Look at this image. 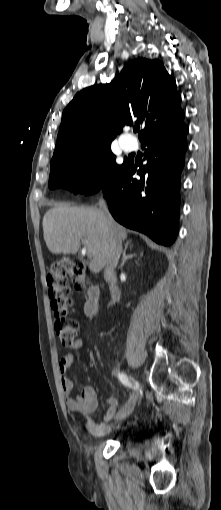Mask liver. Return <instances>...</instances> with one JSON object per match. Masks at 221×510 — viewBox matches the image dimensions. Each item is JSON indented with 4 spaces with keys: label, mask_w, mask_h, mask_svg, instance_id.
I'll list each match as a JSON object with an SVG mask.
<instances>
[{
    "label": "liver",
    "mask_w": 221,
    "mask_h": 510,
    "mask_svg": "<svg viewBox=\"0 0 221 510\" xmlns=\"http://www.w3.org/2000/svg\"><path fill=\"white\" fill-rule=\"evenodd\" d=\"M112 228L121 241L127 239L124 227L113 220ZM44 240L52 254H76L81 241L93 252L89 269L99 273L106 265L110 229L106 216L96 207L57 205L43 218Z\"/></svg>",
    "instance_id": "1"
}]
</instances>
